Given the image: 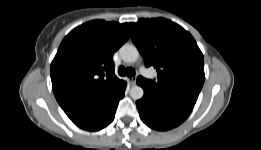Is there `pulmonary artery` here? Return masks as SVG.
I'll list each match as a JSON object with an SVG mask.
<instances>
[{
	"label": "pulmonary artery",
	"mask_w": 261,
	"mask_h": 150,
	"mask_svg": "<svg viewBox=\"0 0 261 150\" xmlns=\"http://www.w3.org/2000/svg\"><path fill=\"white\" fill-rule=\"evenodd\" d=\"M142 72L144 75L149 76V73L145 69H142Z\"/></svg>",
	"instance_id": "1"
}]
</instances>
